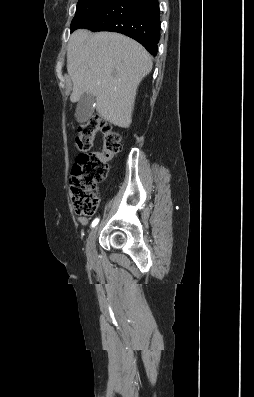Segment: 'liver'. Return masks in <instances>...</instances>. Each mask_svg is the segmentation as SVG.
<instances>
[{"label": "liver", "instance_id": "6515ba94", "mask_svg": "<svg viewBox=\"0 0 254 397\" xmlns=\"http://www.w3.org/2000/svg\"><path fill=\"white\" fill-rule=\"evenodd\" d=\"M151 69L149 53L122 34L79 29L69 39L70 100L79 101L85 93L93 95L98 114L116 126H130L137 88Z\"/></svg>", "mask_w": 254, "mask_h": 397}]
</instances>
